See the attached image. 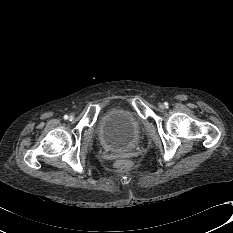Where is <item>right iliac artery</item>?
<instances>
[{"label": "right iliac artery", "instance_id": "obj_1", "mask_svg": "<svg viewBox=\"0 0 233 233\" xmlns=\"http://www.w3.org/2000/svg\"><path fill=\"white\" fill-rule=\"evenodd\" d=\"M64 119L67 120L68 119V115H64Z\"/></svg>", "mask_w": 233, "mask_h": 233}]
</instances>
